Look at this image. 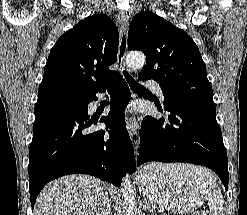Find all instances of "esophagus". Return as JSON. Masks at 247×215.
Returning <instances> with one entry per match:
<instances>
[{"instance_id":"esophagus-1","label":"esophagus","mask_w":247,"mask_h":215,"mask_svg":"<svg viewBox=\"0 0 247 215\" xmlns=\"http://www.w3.org/2000/svg\"><path fill=\"white\" fill-rule=\"evenodd\" d=\"M117 19H118L119 30H120L118 63L121 66H123V68L126 69L129 74H132L131 69L128 68L126 66V63H125V56H126V52H127L129 16H128L127 12L120 11ZM129 132H130V138L132 140L134 149L137 150L138 143H139L138 123H137L136 117L134 115L130 116Z\"/></svg>"}]
</instances>
